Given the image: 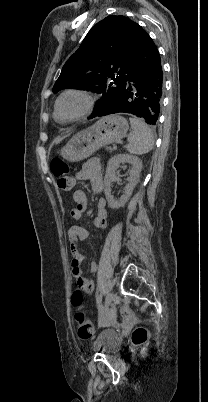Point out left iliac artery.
I'll return each mask as SVG.
<instances>
[{"label":"left iliac artery","mask_w":208,"mask_h":402,"mask_svg":"<svg viewBox=\"0 0 208 402\" xmlns=\"http://www.w3.org/2000/svg\"><path fill=\"white\" fill-rule=\"evenodd\" d=\"M101 302H102V296H101V294H100V295L97 296V304L100 305Z\"/></svg>","instance_id":"left-iliac-artery-1"}]
</instances>
